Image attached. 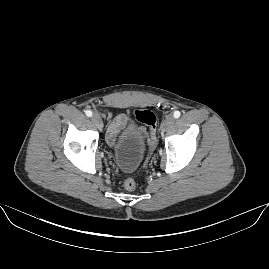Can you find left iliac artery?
<instances>
[{"instance_id":"1","label":"left iliac artery","mask_w":269,"mask_h":269,"mask_svg":"<svg viewBox=\"0 0 269 269\" xmlns=\"http://www.w3.org/2000/svg\"><path fill=\"white\" fill-rule=\"evenodd\" d=\"M180 115H181V113H180L179 111H175V112H174V117H175V118H179Z\"/></svg>"}]
</instances>
